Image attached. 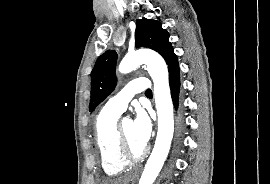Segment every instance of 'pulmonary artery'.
Segmentation results:
<instances>
[{
    "label": "pulmonary artery",
    "instance_id": "e3ab8cb5",
    "mask_svg": "<svg viewBox=\"0 0 270 184\" xmlns=\"http://www.w3.org/2000/svg\"><path fill=\"white\" fill-rule=\"evenodd\" d=\"M150 83L146 78H137L130 81L117 95L108 100L106 106L119 113L126 110L129 101L137 93L146 92Z\"/></svg>",
    "mask_w": 270,
    "mask_h": 184
}]
</instances>
